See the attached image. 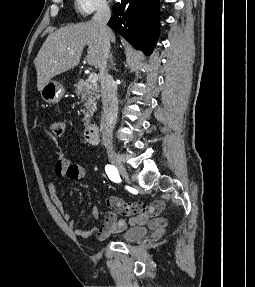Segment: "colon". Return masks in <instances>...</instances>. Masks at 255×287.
I'll list each match as a JSON object with an SVG mask.
<instances>
[{
  "mask_svg": "<svg viewBox=\"0 0 255 287\" xmlns=\"http://www.w3.org/2000/svg\"><path fill=\"white\" fill-rule=\"evenodd\" d=\"M48 128L54 138H60L64 133V124L59 121L50 122Z\"/></svg>",
  "mask_w": 255,
  "mask_h": 287,
  "instance_id": "5ec220e1",
  "label": "colon"
}]
</instances>
